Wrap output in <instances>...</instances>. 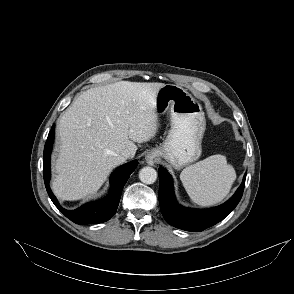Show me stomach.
Listing matches in <instances>:
<instances>
[{
    "mask_svg": "<svg viewBox=\"0 0 294 294\" xmlns=\"http://www.w3.org/2000/svg\"><path fill=\"white\" fill-rule=\"evenodd\" d=\"M158 115L170 111L171 129L163 144L151 151L167 160L175 169L196 161L201 155V143L206 128L200 103L185 89L165 84L155 97Z\"/></svg>",
    "mask_w": 294,
    "mask_h": 294,
    "instance_id": "0dacf381",
    "label": "stomach"
}]
</instances>
